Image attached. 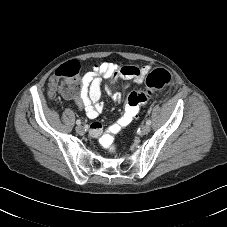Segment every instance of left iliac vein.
I'll return each instance as SVG.
<instances>
[{"label":"left iliac vein","mask_w":227,"mask_h":227,"mask_svg":"<svg viewBox=\"0 0 227 227\" xmlns=\"http://www.w3.org/2000/svg\"><path fill=\"white\" fill-rule=\"evenodd\" d=\"M142 134H148L150 132V126L149 125H144L141 129Z\"/></svg>","instance_id":"obj_1"}]
</instances>
